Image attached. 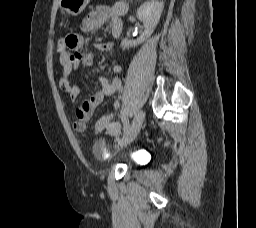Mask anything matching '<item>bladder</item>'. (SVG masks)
<instances>
[{
	"label": "bladder",
	"mask_w": 256,
	"mask_h": 228,
	"mask_svg": "<svg viewBox=\"0 0 256 228\" xmlns=\"http://www.w3.org/2000/svg\"><path fill=\"white\" fill-rule=\"evenodd\" d=\"M92 151L94 154H107V149L105 148L104 142L101 139L96 140L92 145ZM131 161L139 162L141 160V155L139 153H134L131 155Z\"/></svg>",
	"instance_id": "31cf9c89"
}]
</instances>
